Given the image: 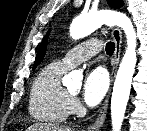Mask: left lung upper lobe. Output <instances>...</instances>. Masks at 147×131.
I'll return each instance as SVG.
<instances>
[{
  "instance_id": "obj_1",
  "label": "left lung upper lobe",
  "mask_w": 147,
  "mask_h": 131,
  "mask_svg": "<svg viewBox=\"0 0 147 131\" xmlns=\"http://www.w3.org/2000/svg\"><path fill=\"white\" fill-rule=\"evenodd\" d=\"M107 2L109 3V5L113 8H119L122 6V1L120 0H107ZM47 38H48V34L46 35V37L44 38V40L42 41L35 62H34V66L33 69H35L39 63L42 61L45 53H46V42H47Z\"/></svg>"
}]
</instances>
